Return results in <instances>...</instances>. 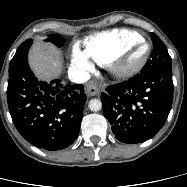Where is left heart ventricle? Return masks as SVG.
Returning a JSON list of instances; mask_svg holds the SVG:
<instances>
[{"label": "left heart ventricle", "instance_id": "left-heart-ventricle-1", "mask_svg": "<svg viewBox=\"0 0 187 187\" xmlns=\"http://www.w3.org/2000/svg\"><path fill=\"white\" fill-rule=\"evenodd\" d=\"M147 50V46L144 43H139L136 45L128 54L124 66L125 67H131L135 64H137L145 55Z\"/></svg>", "mask_w": 187, "mask_h": 187}]
</instances>
